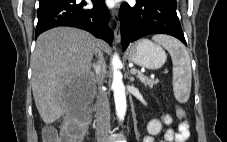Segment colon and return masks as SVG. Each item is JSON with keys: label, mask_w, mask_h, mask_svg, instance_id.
<instances>
[{"label": "colon", "mask_w": 227, "mask_h": 142, "mask_svg": "<svg viewBox=\"0 0 227 142\" xmlns=\"http://www.w3.org/2000/svg\"><path fill=\"white\" fill-rule=\"evenodd\" d=\"M177 115L182 121L186 120V115L181 107L177 108ZM88 122L87 115H77L60 131L53 127L47 126L42 131L43 142H81L83 131Z\"/></svg>", "instance_id": "5ec220e1"}]
</instances>
